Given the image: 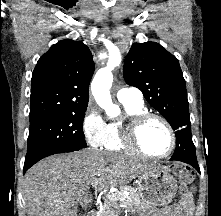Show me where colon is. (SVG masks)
Returning a JSON list of instances; mask_svg holds the SVG:
<instances>
[{"label": "colon", "mask_w": 221, "mask_h": 216, "mask_svg": "<svg viewBox=\"0 0 221 216\" xmlns=\"http://www.w3.org/2000/svg\"><path fill=\"white\" fill-rule=\"evenodd\" d=\"M173 172L184 185V194L186 195V198L189 199L190 191L187 188L191 180L189 170L182 165H177L173 167Z\"/></svg>", "instance_id": "5ec220e1"}]
</instances>
